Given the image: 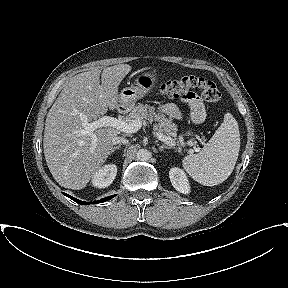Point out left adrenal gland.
Listing matches in <instances>:
<instances>
[{
    "label": "left adrenal gland",
    "instance_id": "1",
    "mask_svg": "<svg viewBox=\"0 0 288 288\" xmlns=\"http://www.w3.org/2000/svg\"><path fill=\"white\" fill-rule=\"evenodd\" d=\"M159 151H163V149H171V147L169 146H166V145H162V146H159Z\"/></svg>",
    "mask_w": 288,
    "mask_h": 288
}]
</instances>
